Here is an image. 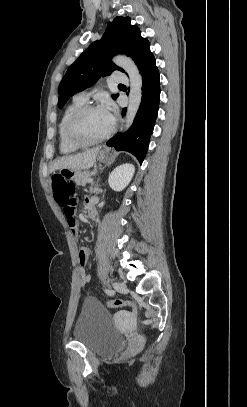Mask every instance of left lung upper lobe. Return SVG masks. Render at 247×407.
Listing matches in <instances>:
<instances>
[{"label":"left lung upper lobe","instance_id":"left-lung-upper-lobe-1","mask_svg":"<svg viewBox=\"0 0 247 407\" xmlns=\"http://www.w3.org/2000/svg\"><path fill=\"white\" fill-rule=\"evenodd\" d=\"M130 22L129 17H116L109 22L102 38L93 42L69 67L59 85V108L75 93L91 87L101 76L115 70L124 72L111 61L115 54L124 53L138 65L150 52L149 41L141 37L139 28ZM117 96L115 94L112 98Z\"/></svg>","mask_w":247,"mask_h":407}]
</instances>
